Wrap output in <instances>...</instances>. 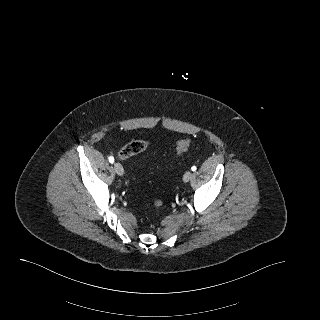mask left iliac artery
I'll return each mask as SVG.
<instances>
[{"mask_svg": "<svg viewBox=\"0 0 320 320\" xmlns=\"http://www.w3.org/2000/svg\"><path fill=\"white\" fill-rule=\"evenodd\" d=\"M196 169H197L196 166H192L191 168L192 171H196Z\"/></svg>", "mask_w": 320, "mask_h": 320, "instance_id": "1", "label": "left iliac artery"}]
</instances>
